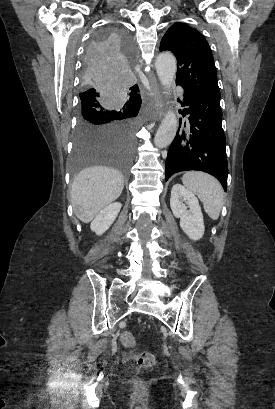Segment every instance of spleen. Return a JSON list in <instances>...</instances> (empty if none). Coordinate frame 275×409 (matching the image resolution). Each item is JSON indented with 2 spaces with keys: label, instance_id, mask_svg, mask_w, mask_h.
Returning <instances> with one entry per match:
<instances>
[{
  "label": "spleen",
  "instance_id": "spleen-1",
  "mask_svg": "<svg viewBox=\"0 0 275 409\" xmlns=\"http://www.w3.org/2000/svg\"><path fill=\"white\" fill-rule=\"evenodd\" d=\"M182 182L199 196L203 202L205 213L210 219H218L223 207V188L214 176L206 174V172H198L191 170L182 176Z\"/></svg>",
  "mask_w": 275,
  "mask_h": 409
}]
</instances>
